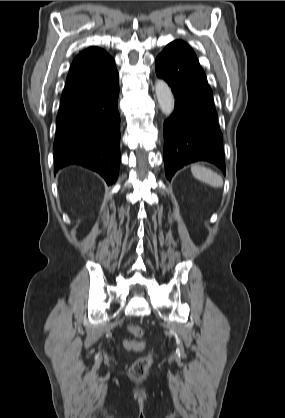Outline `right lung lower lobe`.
<instances>
[{"label": "right lung lower lobe", "instance_id": "obj_1", "mask_svg": "<svg viewBox=\"0 0 285 418\" xmlns=\"http://www.w3.org/2000/svg\"><path fill=\"white\" fill-rule=\"evenodd\" d=\"M119 75L115 69L96 84L61 99L56 117L54 172L81 165L113 184L120 164Z\"/></svg>", "mask_w": 285, "mask_h": 418}]
</instances>
